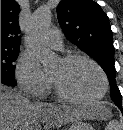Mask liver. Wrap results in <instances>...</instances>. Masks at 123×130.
I'll use <instances>...</instances> for the list:
<instances>
[{"instance_id": "1", "label": "liver", "mask_w": 123, "mask_h": 130, "mask_svg": "<svg viewBox=\"0 0 123 130\" xmlns=\"http://www.w3.org/2000/svg\"><path fill=\"white\" fill-rule=\"evenodd\" d=\"M98 107L31 102L21 92L1 84V130H39L40 123L61 127L79 120L95 119Z\"/></svg>"}]
</instances>
